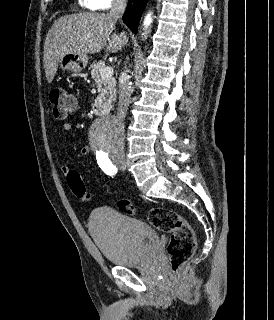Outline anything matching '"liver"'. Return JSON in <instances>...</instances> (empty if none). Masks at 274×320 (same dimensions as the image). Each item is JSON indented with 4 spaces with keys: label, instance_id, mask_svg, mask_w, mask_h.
<instances>
[{
    "label": "liver",
    "instance_id": "liver-1",
    "mask_svg": "<svg viewBox=\"0 0 274 320\" xmlns=\"http://www.w3.org/2000/svg\"><path fill=\"white\" fill-rule=\"evenodd\" d=\"M116 18L109 14L87 12L62 16L51 26L44 44V68L48 84L55 78L58 64L65 54H99L103 48L115 54L127 42L113 34ZM111 36V38H110ZM109 42V44H107Z\"/></svg>",
    "mask_w": 274,
    "mask_h": 320
}]
</instances>
